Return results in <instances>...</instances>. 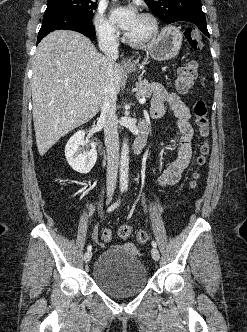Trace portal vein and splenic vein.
Here are the masks:
<instances>
[{
	"mask_svg": "<svg viewBox=\"0 0 247 332\" xmlns=\"http://www.w3.org/2000/svg\"><path fill=\"white\" fill-rule=\"evenodd\" d=\"M85 96H89V94L86 93ZM139 103H140V104H145V103H146V99H145V97L139 99Z\"/></svg>",
	"mask_w": 247,
	"mask_h": 332,
	"instance_id": "1",
	"label": "portal vein and splenic vein"
}]
</instances>
